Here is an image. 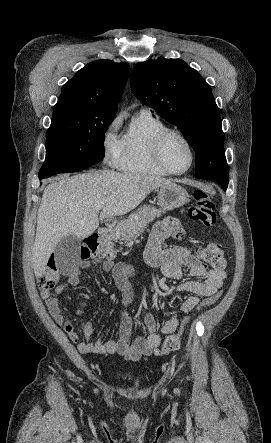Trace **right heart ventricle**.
Listing matches in <instances>:
<instances>
[{"mask_svg":"<svg viewBox=\"0 0 271 443\" xmlns=\"http://www.w3.org/2000/svg\"><path fill=\"white\" fill-rule=\"evenodd\" d=\"M166 128L167 125L149 111L133 116L121 140L117 167L130 173L166 176L168 173L156 163L152 152L155 137Z\"/></svg>","mask_w":271,"mask_h":443,"instance_id":"1","label":"right heart ventricle"}]
</instances>
